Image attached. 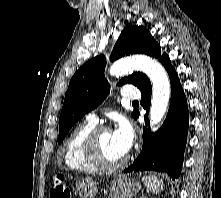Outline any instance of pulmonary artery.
Segmentation results:
<instances>
[{
	"instance_id": "1",
	"label": "pulmonary artery",
	"mask_w": 221,
	"mask_h": 198,
	"mask_svg": "<svg viewBox=\"0 0 221 198\" xmlns=\"http://www.w3.org/2000/svg\"><path fill=\"white\" fill-rule=\"evenodd\" d=\"M121 95H122V97H124L126 99H131V100H136V99L140 98L139 90L134 87H130V86L124 87L121 90ZM86 118L88 121H91L94 123H97V121H98V118L95 113L87 114Z\"/></svg>"
}]
</instances>
